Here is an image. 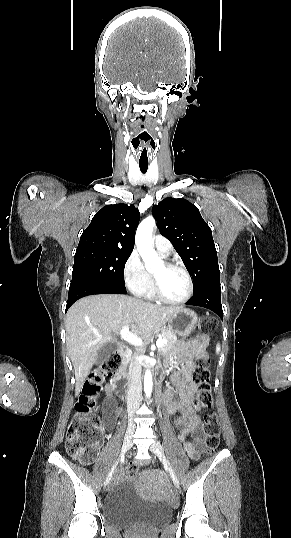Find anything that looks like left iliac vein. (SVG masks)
<instances>
[{
	"label": "left iliac vein",
	"instance_id": "left-iliac-vein-1",
	"mask_svg": "<svg viewBox=\"0 0 291 538\" xmlns=\"http://www.w3.org/2000/svg\"><path fill=\"white\" fill-rule=\"evenodd\" d=\"M150 450L156 454L159 458L163 459L165 462H166V465H167V469H168V472L172 478V481L173 483L175 484V486H179V479L173 469V467L171 466V464L169 463L168 459L166 458L164 452H163V449L161 447V445L158 443V442H153L150 446Z\"/></svg>",
	"mask_w": 291,
	"mask_h": 538
}]
</instances>
